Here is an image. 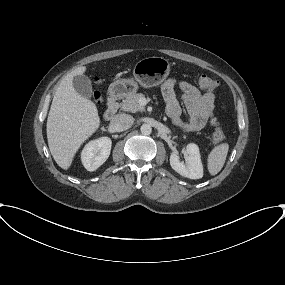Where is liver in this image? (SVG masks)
<instances>
[{"instance_id": "6515ba94", "label": "liver", "mask_w": 285, "mask_h": 285, "mask_svg": "<svg viewBox=\"0 0 285 285\" xmlns=\"http://www.w3.org/2000/svg\"><path fill=\"white\" fill-rule=\"evenodd\" d=\"M85 66L68 73L54 94L47 118V139L56 163L70 168L80 146L98 129L100 117L96 105L76 92L73 78L83 75Z\"/></svg>"}]
</instances>
